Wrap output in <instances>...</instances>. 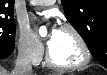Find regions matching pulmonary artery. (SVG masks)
Listing matches in <instances>:
<instances>
[{
  "label": "pulmonary artery",
  "instance_id": "1",
  "mask_svg": "<svg viewBox=\"0 0 107 75\" xmlns=\"http://www.w3.org/2000/svg\"><path fill=\"white\" fill-rule=\"evenodd\" d=\"M30 3L38 6H49L54 4L55 0H32Z\"/></svg>",
  "mask_w": 107,
  "mask_h": 75
}]
</instances>
